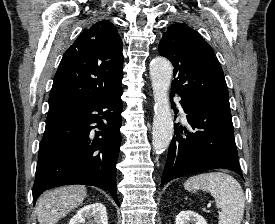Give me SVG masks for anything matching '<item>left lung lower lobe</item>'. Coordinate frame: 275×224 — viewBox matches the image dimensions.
I'll list each match as a JSON object with an SVG mask.
<instances>
[{
  "label": "left lung lower lobe",
  "instance_id": "obj_1",
  "mask_svg": "<svg viewBox=\"0 0 275 224\" xmlns=\"http://www.w3.org/2000/svg\"><path fill=\"white\" fill-rule=\"evenodd\" d=\"M180 97L193 132L175 125L161 186L175 178L217 168L242 175L230 112ZM183 131L187 135L182 136Z\"/></svg>",
  "mask_w": 275,
  "mask_h": 224
}]
</instances>
